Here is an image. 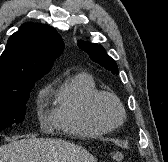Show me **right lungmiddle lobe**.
Here are the masks:
<instances>
[{
  "instance_id": "1",
  "label": "right lung middle lobe",
  "mask_w": 168,
  "mask_h": 162,
  "mask_svg": "<svg viewBox=\"0 0 168 162\" xmlns=\"http://www.w3.org/2000/svg\"><path fill=\"white\" fill-rule=\"evenodd\" d=\"M36 80H25L0 89V130L24 120L26 102Z\"/></svg>"
}]
</instances>
